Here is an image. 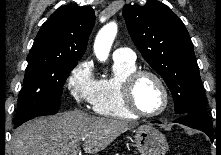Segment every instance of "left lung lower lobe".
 Masks as SVG:
<instances>
[{
    "instance_id": "left-lung-lower-lobe-1",
    "label": "left lung lower lobe",
    "mask_w": 221,
    "mask_h": 155,
    "mask_svg": "<svg viewBox=\"0 0 221 155\" xmlns=\"http://www.w3.org/2000/svg\"><path fill=\"white\" fill-rule=\"evenodd\" d=\"M174 122L201 130L213 141V126L207 117V113L192 112L181 116ZM152 123H160V121H153Z\"/></svg>"
}]
</instances>
